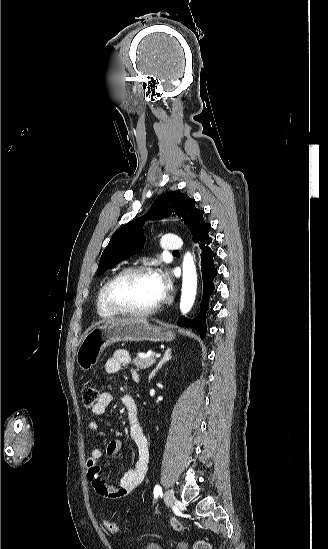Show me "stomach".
Listing matches in <instances>:
<instances>
[{"label":"stomach","instance_id":"obj_1","mask_svg":"<svg viewBox=\"0 0 328 549\" xmlns=\"http://www.w3.org/2000/svg\"><path fill=\"white\" fill-rule=\"evenodd\" d=\"M175 333L169 325H151L147 317H131L128 323H109L102 327H91L86 331L76 353L81 371H90L99 361L104 349L119 341H153L169 343Z\"/></svg>","mask_w":328,"mask_h":549}]
</instances>
